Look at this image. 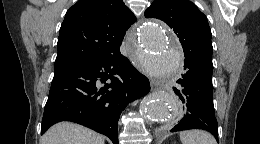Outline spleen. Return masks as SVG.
Segmentation results:
<instances>
[{"mask_svg": "<svg viewBox=\"0 0 260 144\" xmlns=\"http://www.w3.org/2000/svg\"><path fill=\"white\" fill-rule=\"evenodd\" d=\"M182 144H216L214 137L201 130L183 131L180 133Z\"/></svg>", "mask_w": 260, "mask_h": 144, "instance_id": "3e777b00", "label": "spleen"}]
</instances>
